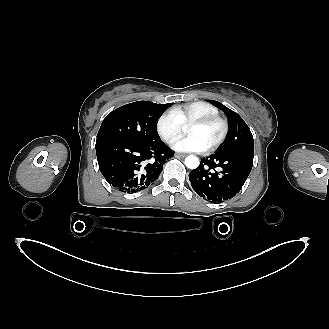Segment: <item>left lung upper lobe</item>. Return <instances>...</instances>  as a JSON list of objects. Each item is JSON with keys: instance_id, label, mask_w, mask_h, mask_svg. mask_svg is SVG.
I'll use <instances>...</instances> for the list:
<instances>
[{"instance_id": "1", "label": "left lung upper lobe", "mask_w": 329, "mask_h": 329, "mask_svg": "<svg viewBox=\"0 0 329 329\" xmlns=\"http://www.w3.org/2000/svg\"><path fill=\"white\" fill-rule=\"evenodd\" d=\"M217 108L224 111L229 122V135L218 153H236L254 156V140L252 133L236 112L215 100H207Z\"/></svg>"}]
</instances>
